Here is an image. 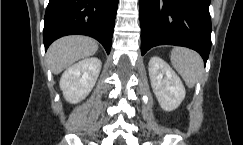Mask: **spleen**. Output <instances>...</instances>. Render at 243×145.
I'll use <instances>...</instances> for the list:
<instances>
[{
    "mask_svg": "<svg viewBox=\"0 0 243 145\" xmlns=\"http://www.w3.org/2000/svg\"><path fill=\"white\" fill-rule=\"evenodd\" d=\"M171 63L189 88H193L203 74V60L191 49L175 47L171 52Z\"/></svg>",
    "mask_w": 243,
    "mask_h": 145,
    "instance_id": "obj_1",
    "label": "spleen"
}]
</instances>
